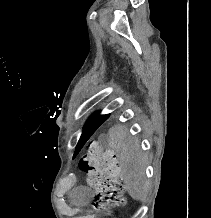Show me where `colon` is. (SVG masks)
<instances>
[{
	"mask_svg": "<svg viewBox=\"0 0 211 218\" xmlns=\"http://www.w3.org/2000/svg\"><path fill=\"white\" fill-rule=\"evenodd\" d=\"M79 166L87 173L88 183L96 191L95 203L98 207L111 209L125 205L124 180L112 151L91 143Z\"/></svg>",
	"mask_w": 211,
	"mask_h": 218,
	"instance_id": "1",
	"label": "colon"
}]
</instances>
